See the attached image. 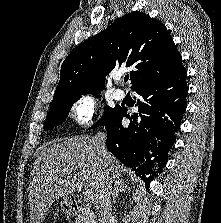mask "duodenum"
<instances>
[{
	"mask_svg": "<svg viewBox=\"0 0 221 223\" xmlns=\"http://www.w3.org/2000/svg\"><path fill=\"white\" fill-rule=\"evenodd\" d=\"M71 209L74 213H78L82 209V206L76 199H73L71 202Z\"/></svg>",
	"mask_w": 221,
	"mask_h": 223,
	"instance_id": "1",
	"label": "duodenum"
}]
</instances>
